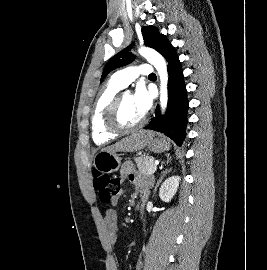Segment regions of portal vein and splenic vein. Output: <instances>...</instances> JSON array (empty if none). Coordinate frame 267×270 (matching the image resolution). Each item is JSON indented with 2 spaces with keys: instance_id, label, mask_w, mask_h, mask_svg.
Instances as JSON below:
<instances>
[{
  "instance_id": "18ae733b",
  "label": "portal vein and splenic vein",
  "mask_w": 267,
  "mask_h": 270,
  "mask_svg": "<svg viewBox=\"0 0 267 270\" xmlns=\"http://www.w3.org/2000/svg\"><path fill=\"white\" fill-rule=\"evenodd\" d=\"M158 164V162H155L154 167L148 172V174H153L156 171Z\"/></svg>"
}]
</instances>
